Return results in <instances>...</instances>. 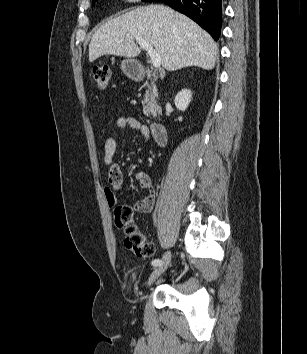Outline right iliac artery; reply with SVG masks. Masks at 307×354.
<instances>
[{"label":"right iliac artery","instance_id":"82829eb1","mask_svg":"<svg viewBox=\"0 0 307 354\" xmlns=\"http://www.w3.org/2000/svg\"><path fill=\"white\" fill-rule=\"evenodd\" d=\"M161 262H162V261H161L160 259H154V260H152V263H151V264H152L153 266H159V265L161 264Z\"/></svg>","mask_w":307,"mask_h":354}]
</instances>
